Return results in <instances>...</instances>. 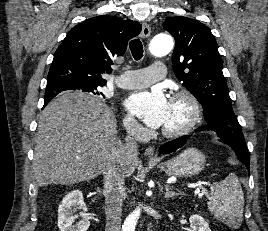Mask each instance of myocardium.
<instances>
[{
    "label": "myocardium",
    "mask_w": 268,
    "mask_h": 231,
    "mask_svg": "<svg viewBox=\"0 0 268 231\" xmlns=\"http://www.w3.org/2000/svg\"><path fill=\"white\" fill-rule=\"evenodd\" d=\"M184 101L190 110V116L187 121L179 128L174 130L161 129L160 133L168 138L180 137L193 130L201 119V105L198 99L191 92L181 90L171 95L170 101Z\"/></svg>",
    "instance_id": "1"
}]
</instances>
